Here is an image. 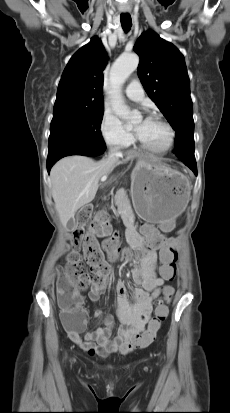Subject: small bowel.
Instances as JSON below:
<instances>
[{"mask_svg": "<svg viewBox=\"0 0 230 413\" xmlns=\"http://www.w3.org/2000/svg\"><path fill=\"white\" fill-rule=\"evenodd\" d=\"M176 228V222H172L169 218L158 224L159 231H176ZM143 233L144 236L138 234L134 229H129L127 233L130 245L141 251L142 257L140 266L132 270V279L138 285L132 291L133 300H129L127 286L124 282H118L116 285L117 315L121 327L113 338L111 333L115 324L114 319L109 315L104 316L100 311L95 312L94 317L101 320L104 326L86 332L82 338L81 331L87 322V313L82 308V297L77 291L74 293L78 298L77 305L81 312V319L76 321L73 312L63 311L61 314L69 338L91 355L106 357L117 351L127 353L125 351L126 345L145 332L152 313L154 299L160 295L164 297L174 293V288L165 284V277H158L155 272L156 254L154 249L163 245L159 232L155 228L146 225L143 227ZM158 240L160 241L158 242ZM118 257L119 253L108 254V259L111 262L116 261ZM109 275L110 272L108 271L104 277L103 285L90 287L88 292L90 301H98L100 292L106 288Z\"/></svg>", "mask_w": 230, "mask_h": 413, "instance_id": "1", "label": "small bowel"}]
</instances>
